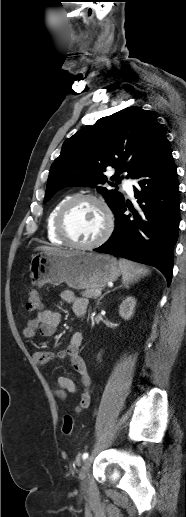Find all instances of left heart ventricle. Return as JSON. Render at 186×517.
Wrapping results in <instances>:
<instances>
[{
  "mask_svg": "<svg viewBox=\"0 0 186 517\" xmlns=\"http://www.w3.org/2000/svg\"><path fill=\"white\" fill-rule=\"evenodd\" d=\"M105 216L94 202L78 203L67 219V231L70 237L79 243H90L96 240L104 230Z\"/></svg>",
  "mask_w": 186,
  "mask_h": 517,
  "instance_id": "b2bd125f",
  "label": "left heart ventricle"
}]
</instances>
